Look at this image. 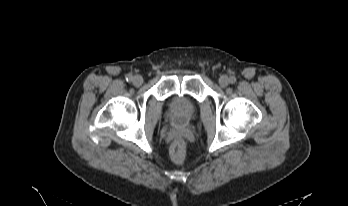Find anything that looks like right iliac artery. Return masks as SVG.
<instances>
[{"instance_id":"82829eb1","label":"right iliac artery","mask_w":348,"mask_h":206,"mask_svg":"<svg viewBox=\"0 0 348 206\" xmlns=\"http://www.w3.org/2000/svg\"><path fill=\"white\" fill-rule=\"evenodd\" d=\"M132 80H133V76L130 75V74H128V75L126 76V81H127V82H131Z\"/></svg>"}]
</instances>
